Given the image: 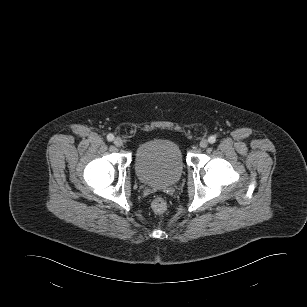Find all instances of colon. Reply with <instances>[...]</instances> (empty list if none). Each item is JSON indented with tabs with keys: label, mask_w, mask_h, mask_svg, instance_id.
<instances>
[{
	"label": "colon",
	"mask_w": 307,
	"mask_h": 307,
	"mask_svg": "<svg viewBox=\"0 0 307 307\" xmlns=\"http://www.w3.org/2000/svg\"><path fill=\"white\" fill-rule=\"evenodd\" d=\"M166 202L163 198L161 197H156L151 204V208L154 213L156 214H162L166 211Z\"/></svg>",
	"instance_id": "5ec220e1"
}]
</instances>
